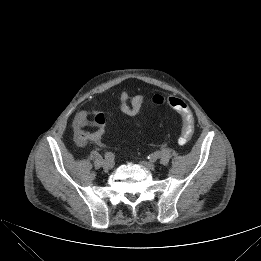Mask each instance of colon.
Wrapping results in <instances>:
<instances>
[{
	"mask_svg": "<svg viewBox=\"0 0 261 261\" xmlns=\"http://www.w3.org/2000/svg\"><path fill=\"white\" fill-rule=\"evenodd\" d=\"M152 102L155 105L168 106L181 115L182 127L178 142L180 145H186L194 133V118L186 102L176 96L164 97L159 94L153 96Z\"/></svg>",
	"mask_w": 261,
	"mask_h": 261,
	"instance_id": "obj_1",
	"label": "colon"
}]
</instances>
